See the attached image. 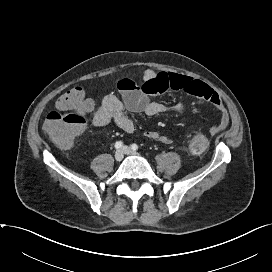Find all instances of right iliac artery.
<instances>
[{
	"instance_id": "1",
	"label": "right iliac artery",
	"mask_w": 272,
	"mask_h": 272,
	"mask_svg": "<svg viewBox=\"0 0 272 272\" xmlns=\"http://www.w3.org/2000/svg\"><path fill=\"white\" fill-rule=\"evenodd\" d=\"M122 146H123V142H122V141H117V142L115 143V148H116V149H120V148H122Z\"/></svg>"
}]
</instances>
